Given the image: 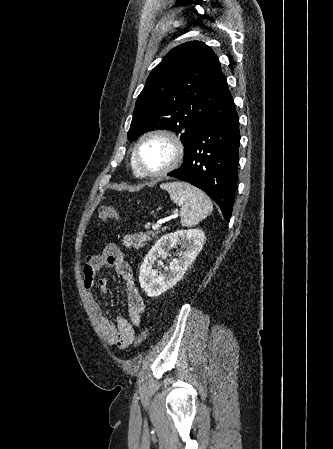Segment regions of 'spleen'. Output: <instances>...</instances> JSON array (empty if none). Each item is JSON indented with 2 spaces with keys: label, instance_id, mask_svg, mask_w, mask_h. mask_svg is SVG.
<instances>
[{
  "label": "spleen",
  "instance_id": "3e777b00",
  "mask_svg": "<svg viewBox=\"0 0 333 449\" xmlns=\"http://www.w3.org/2000/svg\"><path fill=\"white\" fill-rule=\"evenodd\" d=\"M169 192L173 202L181 207V224L190 227L211 214L213 205L210 198L199 188L184 182L161 185Z\"/></svg>",
  "mask_w": 333,
  "mask_h": 449
}]
</instances>
